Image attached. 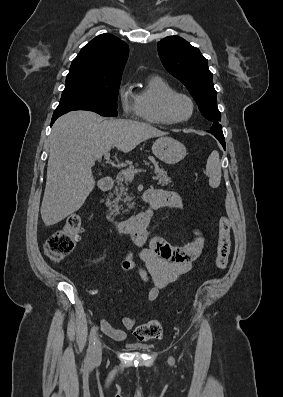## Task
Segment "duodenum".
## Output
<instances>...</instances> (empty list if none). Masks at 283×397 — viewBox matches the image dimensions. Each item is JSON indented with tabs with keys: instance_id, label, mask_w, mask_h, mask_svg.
<instances>
[{
	"instance_id": "410a0bca",
	"label": "duodenum",
	"mask_w": 283,
	"mask_h": 397,
	"mask_svg": "<svg viewBox=\"0 0 283 397\" xmlns=\"http://www.w3.org/2000/svg\"><path fill=\"white\" fill-rule=\"evenodd\" d=\"M113 184V178L107 176L100 181L99 188L103 194H106L112 189ZM142 200L149 205V208L146 211L136 213L129 218L123 220L116 217L114 212L109 207L104 196L100 199V202L106 208L107 220L116 228V230L120 234L132 235L134 233L142 232L146 229L150 222L153 210L157 208L155 203L149 197L147 191L143 194Z\"/></svg>"
}]
</instances>
